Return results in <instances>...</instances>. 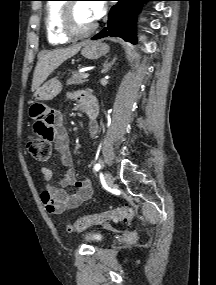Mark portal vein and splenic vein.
<instances>
[{"label":"portal vein and splenic vein","instance_id":"18ae733b","mask_svg":"<svg viewBox=\"0 0 216 285\" xmlns=\"http://www.w3.org/2000/svg\"><path fill=\"white\" fill-rule=\"evenodd\" d=\"M89 76H90L89 73H84L82 77H83L84 79H86V78H88Z\"/></svg>","mask_w":216,"mask_h":285}]
</instances>
